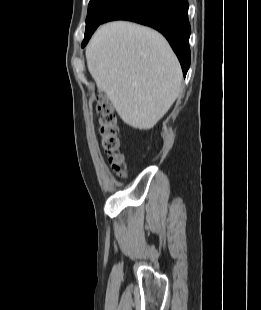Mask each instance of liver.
<instances>
[{
    "instance_id": "1",
    "label": "liver",
    "mask_w": 261,
    "mask_h": 310,
    "mask_svg": "<svg viewBox=\"0 0 261 310\" xmlns=\"http://www.w3.org/2000/svg\"><path fill=\"white\" fill-rule=\"evenodd\" d=\"M88 70L129 126L148 130L179 96L180 63L157 31L126 21L102 25L86 48Z\"/></svg>"
}]
</instances>
